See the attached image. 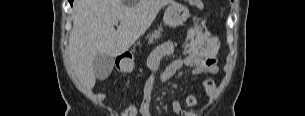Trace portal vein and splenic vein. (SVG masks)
<instances>
[{"instance_id":"18ae733b","label":"portal vein and splenic vein","mask_w":305,"mask_h":116,"mask_svg":"<svg viewBox=\"0 0 305 116\" xmlns=\"http://www.w3.org/2000/svg\"><path fill=\"white\" fill-rule=\"evenodd\" d=\"M118 23H119L118 21H115V22H114V25H118Z\"/></svg>"}]
</instances>
